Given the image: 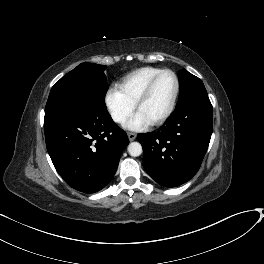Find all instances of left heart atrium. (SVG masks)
<instances>
[{
  "mask_svg": "<svg viewBox=\"0 0 264 264\" xmlns=\"http://www.w3.org/2000/svg\"><path fill=\"white\" fill-rule=\"evenodd\" d=\"M149 121L139 112H137L126 124V126L131 130H140L147 125Z\"/></svg>",
  "mask_w": 264,
  "mask_h": 264,
  "instance_id": "left-heart-atrium-1",
  "label": "left heart atrium"
}]
</instances>
